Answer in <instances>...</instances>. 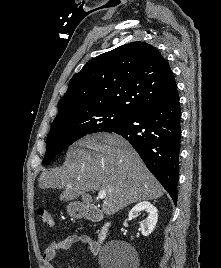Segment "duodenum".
I'll list each match as a JSON object with an SVG mask.
<instances>
[{"label":"duodenum","mask_w":221,"mask_h":268,"mask_svg":"<svg viewBox=\"0 0 221 268\" xmlns=\"http://www.w3.org/2000/svg\"><path fill=\"white\" fill-rule=\"evenodd\" d=\"M82 216L85 217L86 219L93 221V222H97L101 220V214L100 212L95 209V208H91V207H86L84 208L82 211ZM108 233V225L106 224L100 231L98 234V240L99 242L103 241Z\"/></svg>","instance_id":"410a0bca"}]
</instances>
